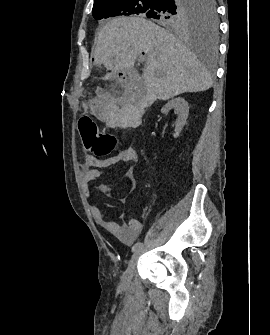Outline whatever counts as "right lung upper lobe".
Segmentation results:
<instances>
[{"label":"right lung upper lobe","instance_id":"obj_1","mask_svg":"<svg viewBox=\"0 0 270 335\" xmlns=\"http://www.w3.org/2000/svg\"><path fill=\"white\" fill-rule=\"evenodd\" d=\"M99 0H95V2L94 3H96V2H98Z\"/></svg>","mask_w":270,"mask_h":335}]
</instances>
